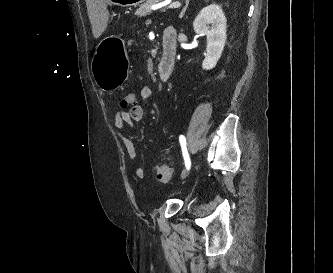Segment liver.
Segmentation results:
<instances>
[{"label": "liver", "instance_id": "obj_1", "mask_svg": "<svg viewBox=\"0 0 333 273\" xmlns=\"http://www.w3.org/2000/svg\"><path fill=\"white\" fill-rule=\"evenodd\" d=\"M107 3L108 0H86L88 16L95 38L100 37L107 27L109 20Z\"/></svg>", "mask_w": 333, "mask_h": 273}]
</instances>
